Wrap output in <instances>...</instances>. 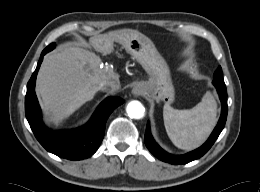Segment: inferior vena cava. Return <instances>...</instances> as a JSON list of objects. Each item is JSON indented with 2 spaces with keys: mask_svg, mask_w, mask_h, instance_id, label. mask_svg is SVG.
Instances as JSON below:
<instances>
[{
  "mask_svg": "<svg viewBox=\"0 0 260 192\" xmlns=\"http://www.w3.org/2000/svg\"><path fill=\"white\" fill-rule=\"evenodd\" d=\"M100 87L102 90H109L114 92L120 88V82L118 78H112L101 83Z\"/></svg>",
  "mask_w": 260,
  "mask_h": 192,
  "instance_id": "obj_1",
  "label": "inferior vena cava"
}]
</instances>
